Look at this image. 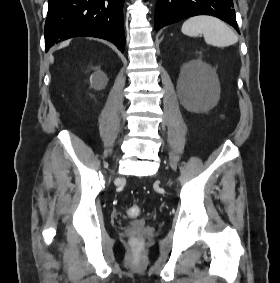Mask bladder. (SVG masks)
<instances>
[{"instance_id": "1", "label": "bladder", "mask_w": 280, "mask_h": 283, "mask_svg": "<svg viewBox=\"0 0 280 283\" xmlns=\"http://www.w3.org/2000/svg\"><path fill=\"white\" fill-rule=\"evenodd\" d=\"M147 223H148V219L142 218L132 221L130 225L135 229H142L147 225Z\"/></svg>"}]
</instances>
